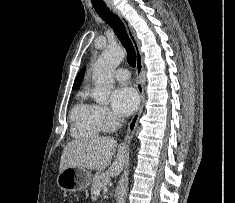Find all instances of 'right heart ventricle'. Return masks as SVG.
<instances>
[{"label":"right heart ventricle","mask_w":235,"mask_h":203,"mask_svg":"<svg viewBox=\"0 0 235 203\" xmlns=\"http://www.w3.org/2000/svg\"><path fill=\"white\" fill-rule=\"evenodd\" d=\"M86 96L85 90L80 91L70 115L71 132L77 138H94L103 131L96 120L94 104L87 102Z\"/></svg>","instance_id":"1"}]
</instances>
